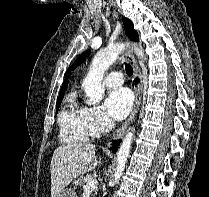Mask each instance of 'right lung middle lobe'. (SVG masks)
I'll use <instances>...</instances> for the list:
<instances>
[{
    "instance_id": "dd1d6c3e",
    "label": "right lung middle lobe",
    "mask_w": 209,
    "mask_h": 197,
    "mask_svg": "<svg viewBox=\"0 0 209 197\" xmlns=\"http://www.w3.org/2000/svg\"><path fill=\"white\" fill-rule=\"evenodd\" d=\"M61 101H62V99L57 100V103H56V111H58V109L60 107V104H61Z\"/></svg>"
}]
</instances>
